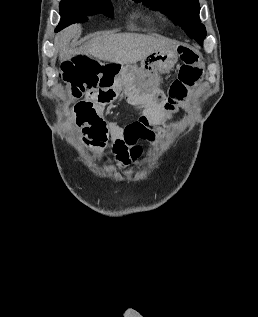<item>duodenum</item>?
<instances>
[{
	"label": "duodenum",
	"mask_w": 258,
	"mask_h": 317,
	"mask_svg": "<svg viewBox=\"0 0 258 317\" xmlns=\"http://www.w3.org/2000/svg\"><path fill=\"white\" fill-rule=\"evenodd\" d=\"M131 74L132 69H123L113 81L90 89L86 95L87 101L97 107H103L117 101L129 84Z\"/></svg>",
	"instance_id": "duodenum-1"
}]
</instances>
